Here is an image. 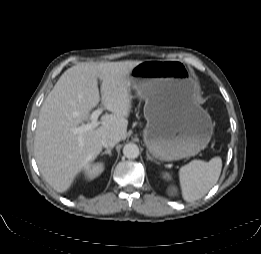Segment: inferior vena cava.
Segmentation results:
<instances>
[{
	"mask_svg": "<svg viewBox=\"0 0 261 254\" xmlns=\"http://www.w3.org/2000/svg\"><path fill=\"white\" fill-rule=\"evenodd\" d=\"M120 141V138L118 135H108L103 138L102 145L106 148L115 146Z\"/></svg>",
	"mask_w": 261,
	"mask_h": 254,
	"instance_id": "602c4592",
	"label": "inferior vena cava"
}]
</instances>
